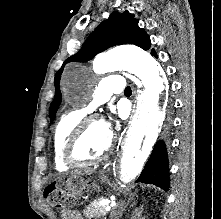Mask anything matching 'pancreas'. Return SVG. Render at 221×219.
Returning <instances> with one entry per match:
<instances>
[{
	"mask_svg": "<svg viewBox=\"0 0 221 219\" xmlns=\"http://www.w3.org/2000/svg\"><path fill=\"white\" fill-rule=\"evenodd\" d=\"M103 197L95 199L90 205H88L83 213L88 219L99 218L105 216L107 212L105 211V205L101 204Z\"/></svg>",
	"mask_w": 221,
	"mask_h": 219,
	"instance_id": "1",
	"label": "pancreas"
}]
</instances>
